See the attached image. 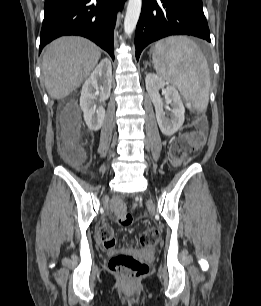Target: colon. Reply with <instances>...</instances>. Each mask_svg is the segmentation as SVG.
Wrapping results in <instances>:
<instances>
[{
    "label": "colon",
    "instance_id": "colon-1",
    "mask_svg": "<svg viewBox=\"0 0 261 306\" xmlns=\"http://www.w3.org/2000/svg\"><path fill=\"white\" fill-rule=\"evenodd\" d=\"M59 138L61 154L72 165H79L84 158L78 142L80 139V117L75 109L64 110L59 119ZM202 131L187 132L175 138L170 145V155L174 163L185 162L190 154L203 144ZM117 222L121 226H129L133 222L132 214L121 201L113 204ZM99 238L107 250L117 247V239L113 229L103 225L99 229ZM159 239L156 228H147L139 236L137 244L141 247H152ZM109 269L124 282H134L144 276L148 271L147 264L129 253H117L110 258Z\"/></svg>",
    "mask_w": 261,
    "mask_h": 306
}]
</instances>
